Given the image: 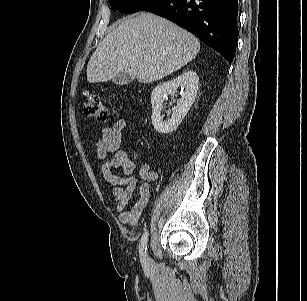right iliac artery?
<instances>
[{
    "label": "right iliac artery",
    "instance_id": "right-iliac-artery-1",
    "mask_svg": "<svg viewBox=\"0 0 307 301\" xmlns=\"http://www.w3.org/2000/svg\"><path fill=\"white\" fill-rule=\"evenodd\" d=\"M147 241H148V231L146 230L140 240V245H139L140 259L144 265L148 263V258H147V253H146Z\"/></svg>",
    "mask_w": 307,
    "mask_h": 301
}]
</instances>
